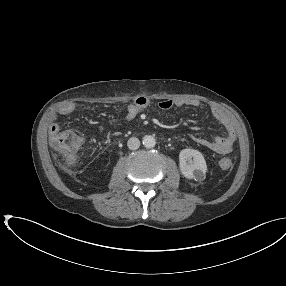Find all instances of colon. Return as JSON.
Wrapping results in <instances>:
<instances>
[{
    "instance_id": "1",
    "label": "colon",
    "mask_w": 286,
    "mask_h": 286,
    "mask_svg": "<svg viewBox=\"0 0 286 286\" xmlns=\"http://www.w3.org/2000/svg\"><path fill=\"white\" fill-rule=\"evenodd\" d=\"M51 143L65 164L72 165L76 162L77 151L82 144V138L77 133L73 131L57 132L51 136ZM233 163V158H223L220 161V167L230 169Z\"/></svg>"
}]
</instances>
